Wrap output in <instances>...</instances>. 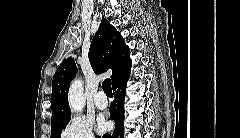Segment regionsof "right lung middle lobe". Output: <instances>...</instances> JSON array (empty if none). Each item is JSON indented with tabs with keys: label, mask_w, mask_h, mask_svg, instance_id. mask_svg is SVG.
I'll return each mask as SVG.
<instances>
[{
	"label": "right lung middle lobe",
	"mask_w": 240,
	"mask_h": 138,
	"mask_svg": "<svg viewBox=\"0 0 240 138\" xmlns=\"http://www.w3.org/2000/svg\"><path fill=\"white\" fill-rule=\"evenodd\" d=\"M68 122L51 126V138H60L62 129L68 124Z\"/></svg>",
	"instance_id": "dd1d6c3e"
}]
</instances>
